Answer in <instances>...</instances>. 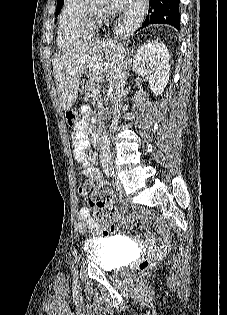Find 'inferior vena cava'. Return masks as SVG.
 <instances>
[{
    "instance_id": "602c4592",
    "label": "inferior vena cava",
    "mask_w": 227,
    "mask_h": 315,
    "mask_svg": "<svg viewBox=\"0 0 227 315\" xmlns=\"http://www.w3.org/2000/svg\"><path fill=\"white\" fill-rule=\"evenodd\" d=\"M128 69L127 60H126V51H124L117 61L113 69V74L111 75L110 86L113 92V120L110 126V133H114L118 129V121L120 118V109L122 107V97L125 95L126 91L124 90L127 72ZM102 167L111 168L112 163L107 162L104 159H101Z\"/></svg>"
}]
</instances>
